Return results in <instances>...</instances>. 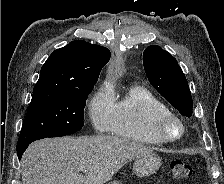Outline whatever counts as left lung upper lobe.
Listing matches in <instances>:
<instances>
[{"label": "left lung upper lobe", "instance_id": "left-lung-upper-lobe-1", "mask_svg": "<svg viewBox=\"0 0 224 184\" xmlns=\"http://www.w3.org/2000/svg\"><path fill=\"white\" fill-rule=\"evenodd\" d=\"M143 65L152 86L183 116L190 117L193 100L177 60L167 51L153 45L145 49Z\"/></svg>", "mask_w": 224, "mask_h": 184}]
</instances>
